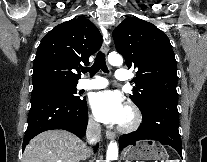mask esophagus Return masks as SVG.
Returning a JSON list of instances; mask_svg holds the SVG:
<instances>
[{
    "label": "esophagus",
    "mask_w": 207,
    "mask_h": 162,
    "mask_svg": "<svg viewBox=\"0 0 207 162\" xmlns=\"http://www.w3.org/2000/svg\"><path fill=\"white\" fill-rule=\"evenodd\" d=\"M111 42V37L110 35L106 36L103 38V45H102V51L107 54L109 51V44ZM106 137L109 140H114L115 139V134L111 131H106Z\"/></svg>",
    "instance_id": "34e87169"
}]
</instances>
